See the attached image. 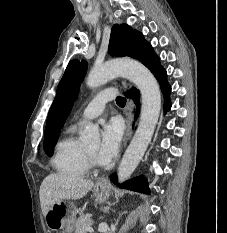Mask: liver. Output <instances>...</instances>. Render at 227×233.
<instances>
[{
	"label": "liver",
	"mask_w": 227,
	"mask_h": 233,
	"mask_svg": "<svg viewBox=\"0 0 227 233\" xmlns=\"http://www.w3.org/2000/svg\"><path fill=\"white\" fill-rule=\"evenodd\" d=\"M93 187L94 183L91 180L57 173L49 174L41 183L39 190L41 209L44 217L55 203L83 198Z\"/></svg>",
	"instance_id": "6515ba94"
}]
</instances>
